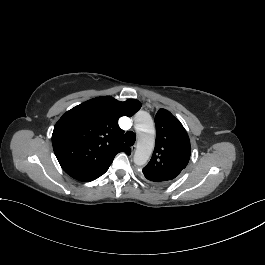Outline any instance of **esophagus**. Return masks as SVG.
Wrapping results in <instances>:
<instances>
[{
    "label": "esophagus",
    "instance_id": "34e87169",
    "mask_svg": "<svg viewBox=\"0 0 265 265\" xmlns=\"http://www.w3.org/2000/svg\"><path fill=\"white\" fill-rule=\"evenodd\" d=\"M131 149H132V152H134V151L136 150V145H133V146L131 147Z\"/></svg>",
    "mask_w": 265,
    "mask_h": 265
}]
</instances>
